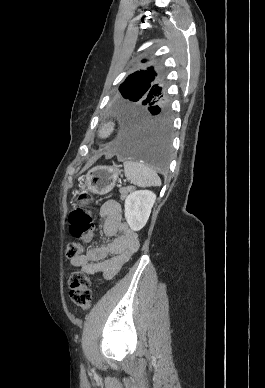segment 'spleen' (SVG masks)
Returning a JSON list of instances; mask_svg holds the SVG:
<instances>
[{
  "label": "spleen",
  "mask_w": 265,
  "mask_h": 388,
  "mask_svg": "<svg viewBox=\"0 0 265 388\" xmlns=\"http://www.w3.org/2000/svg\"><path fill=\"white\" fill-rule=\"evenodd\" d=\"M124 174L131 184L147 188V186H161V180L154 172L153 168L145 166L144 162H134L128 160L124 162Z\"/></svg>",
  "instance_id": "spleen-1"
}]
</instances>
